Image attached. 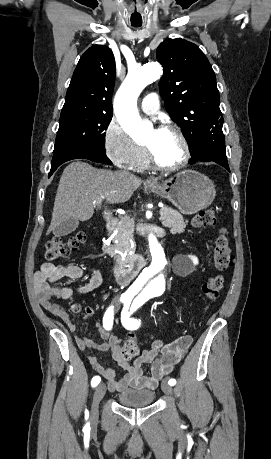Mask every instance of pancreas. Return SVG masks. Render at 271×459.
<instances>
[{
  "label": "pancreas",
  "instance_id": "cf45deb5",
  "mask_svg": "<svg viewBox=\"0 0 271 459\" xmlns=\"http://www.w3.org/2000/svg\"><path fill=\"white\" fill-rule=\"evenodd\" d=\"M160 214H165V219L162 222L164 226L171 228V233H182L187 224L184 222V218L180 212L177 210H172V208H161ZM134 229V218H120V222L115 229L114 245H103L102 249L104 253H109V255H115V249H123V247H130V239L133 235Z\"/></svg>",
  "mask_w": 271,
  "mask_h": 459
}]
</instances>
